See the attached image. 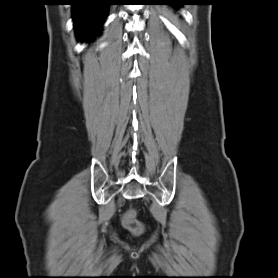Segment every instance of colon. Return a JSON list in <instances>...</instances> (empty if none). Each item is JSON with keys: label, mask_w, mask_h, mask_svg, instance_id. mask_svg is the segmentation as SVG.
Returning a JSON list of instances; mask_svg holds the SVG:
<instances>
[{"label": "colon", "mask_w": 278, "mask_h": 278, "mask_svg": "<svg viewBox=\"0 0 278 278\" xmlns=\"http://www.w3.org/2000/svg\"><path fill=\"white\" fill-rule=\"evenodd\" d=\"M122 223L125 228H127L135 234L141 233L143 229L141 222L137 220L136 214L133 210H129L126 213H124L122 217Z\"/></svg>", "instance_id": "colon-1"}]
</instances>
